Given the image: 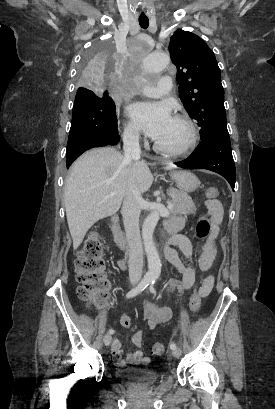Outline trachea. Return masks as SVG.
Here are the masks:
<instances>
[{"instance_id": "trachea-1", "label": "trachea", "mask_w": 275, "mask_h": 409, "mask_svg": "<svg viewBox=\"0 0 275 409\" xmlns=\"http://www.w3.org/2000/svg\"><path fill=\"white\" fill-rule=\"evenodd\" d=\"M139 24L141 28L146 29L149 26V20L148 19H139Z\"/></svg>"}]
</instances>
